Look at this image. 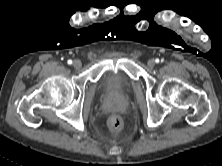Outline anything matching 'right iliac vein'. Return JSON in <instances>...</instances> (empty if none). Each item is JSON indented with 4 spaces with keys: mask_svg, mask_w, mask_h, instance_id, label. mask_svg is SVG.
<instances>
[{
    "mask_svg": "<svg viewBox=\"0 0 222 166\" xmlns=\"http://www.w3.org/2000/svg\"><path fill=\"white\" fill-rule=\"evenodd\" d=\"M73 66H74V68L79 69V68H81L82 63L80 60H74Z\"/></svg>",
    "mask_w": 222,
    "mask_h": 166,
    "instance_id": "right-iliac-vein-1",
    "label": "right iliac vein"
}]
</instances>
